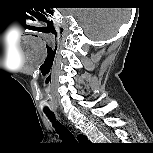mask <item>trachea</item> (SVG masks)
I'll use <instances>...</instances> for the list:
<instances>
[{"label":"trachea","mask_w":153,"mask_h":153,"mask_svg":"<svg viewBox=\"0 0 153 153\" xmlns=\"http://www.w3.org/2000/svg\"><path fill=\"white\" fill-rule=\"evenodd\" d=\"M46 115L51 119L54 120V116L53 113L50 112H46ZM54 126L56 128V131L58 132L60 138L62 139V141L64 143H68V144H75L76 139L74 138V136L71 134V132L65 128L64 126H62L61 124L55 122Z\"/></svg>","instance_id":"obj_1"}]
</instances>
